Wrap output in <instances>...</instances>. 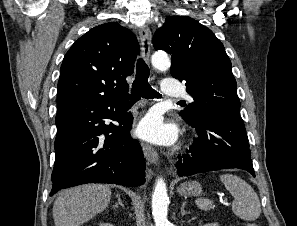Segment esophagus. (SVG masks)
Listing matches in <instances>:
<instances>
[{
	"label": "esophagus",
	"mask_w": 297,
	"mask_h": 226,
	"mask_svg": "<svg viewBox=\"0 0 297 226\" xmlns=\"http://www.w3.org/2000/svg\"><path fill=\"white\" fill-rule=\"evenodd\" d=\"M139 35L141 40V55L145 61H149L150 43L152 37L149 27L147 25L141 26L139 29ZM141 147L146 160L151 164H157L158 154L154 148L145 142H141Z\"/></svg>",
	"instance_id": "esophagus-1"
}]
</instances>
